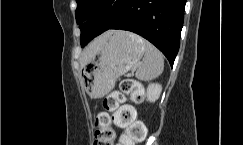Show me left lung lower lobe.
I'll list each match as a JSON object with an SVG mask.
<instances>
[{
    "label": "left lung lower lobe",
    "instance_id": "left-lung-lower-lobe-1",
    "mask_svg": "<svg viewBox=\"0 0 243 145\" xmlns=\"http://www.w3.org/2000/svg\"><path fill=\"white\" fill-rule=\"evenodd\" d=\"M186 0H124L112 17L97 18L94 14L86 22L89 41L108 29H121L139 34L154 44L173 66L180 46Z\"/></svg>",
    "mask_w": 243,
    "mask_h": 145
}]
</instances>
